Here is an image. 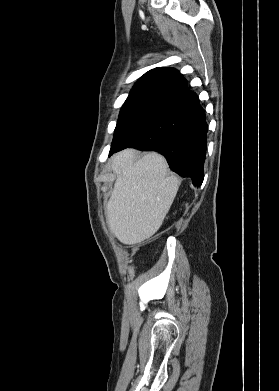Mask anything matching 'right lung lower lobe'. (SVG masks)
<instances>
[{
	"instance_id": "obj_1",
	"label": "right lung lower lobe",
	"mask_w": 279,
	"mask_h": 391,
	"mask_svg": "<svg viewBox=\"0 0 279 391\" xmlns=\"http://www.w3.org/2000/svg\"><path fill=\"white\" fill-rule=\"evenodd\" d=\"M207 131L205 112L196 93L191 91L164 106L146 129L109 155L128 147L159 152L172 171L200 186L204 178Z\"/></svg>"
}]
</instances>
